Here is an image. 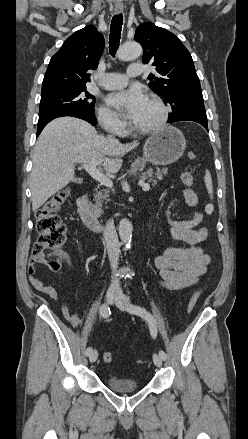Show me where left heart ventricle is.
Returning <instances> with one entry per match:
<instances>
[{
	"mask_svg": "<svg viewBox=\"0 0 248 439\" xmlns=\"http://www.w3.org/2000/svg\"><path fill=\"white\" fill-rule=\"evenodd\" d=\"M161 111L159 107L147 99L146 104L141 110L138 117L133 123L138 127H149L154 125L160 118Z\"/></svg>",
	"mask_w": 248,
	"mask_h": 439,
	"instance_id": "b2bd125f",
	"label": "left heart ventricle"
}]
</instances>
